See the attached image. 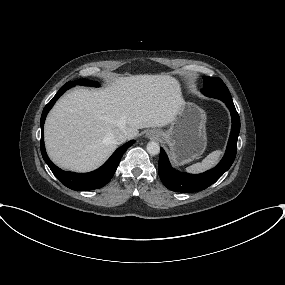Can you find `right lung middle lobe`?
I'll list each match as a JSON object with an SVG mask.
<instances>
[{
    "mask_svg": "<svg viewBox=\"0 0 285 285\" xmlns=\"http://www.w3.org/2000/svg\"><path fill=\"white\" fill-rule=\"evenodd\" d=\"M66 84L69 85L70 87L74 86L75 84L89 85V86H96V87L99 86V84L97 82L88 81L87 79H80V80L70 81V82H68Z\"/></svg>",
    "mask_w": 285,
    "mask_h": 285,
    "instance_id": "dd1d6c3e",
    "label": "right lung middle lobe"
}]
</instances>
